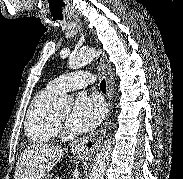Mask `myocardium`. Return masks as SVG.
Wrapping results in <instances>:
<instances>
[{"mask_svg": "<svg viewBox=\"0 0 183 179\" xmlns=\"http://www.w3.org/2000/svg\"><path fill=\"white\" fill-rule=\"evenodd\" d=\"M56 122L59 126H63L64 120L59 116L58 113H56Z\"/></svg>", "mask_w": 183, "mask_h": 179, "instance_id": "myocardium-1", "label": "myocardium"}]
</instances>
